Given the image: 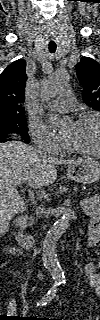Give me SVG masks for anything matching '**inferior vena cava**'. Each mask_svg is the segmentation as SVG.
I'll list each match as a JSON object with an SVG mask.
<instances>
[{
  "mask_svg": "<svg viewBox=\"0 0 100 320\" xmlns=\"http://www.w3.org/2000/svg\"><path fill=\"white\" fill-rule=\"evenodd\" d=\"M36 213L37 214H47L48 213V210L43 206V205H41V206H39V207H37L36 208ZM40 252H38V254H39ZM38 278L39 279H43V275L39 272L38 273Z\"/></svg>",
  "mask_w": 100,
  "mask_h": 320,
  "instance_id": "602c4592",
  "label": "inferior vena cava"
}]
</instances>
